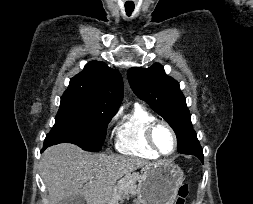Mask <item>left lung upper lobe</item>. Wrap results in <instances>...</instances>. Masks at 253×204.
Returning a JSON list of instances; mask_svg holds the SVG:
<instances>
[{"label": "left lung upper lobe", "instance_id": "left-lung-upper-lobe-1", "mask_svg": "<svg viewBox=\"0 0 253 204\" xmlns=\"http://www.w3.org/2000/svg\"><path fill=\"white\" fill-rule=\"evenodd\" d=\"M128 80L135 94L173 128L177 136L178 152L190 150L196 132L179 83L167 76L158 63L147 69H129Z\"/></svg>", "mask_w": 253, "mask_h": 204}]
</instances>
